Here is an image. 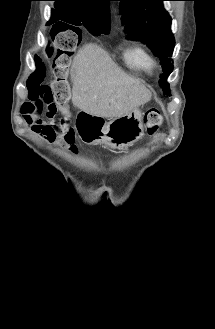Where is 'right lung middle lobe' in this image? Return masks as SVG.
<instances>
[{
  "mask_svg": "<svg viewBox=\"0 0 215 329\" xmlns=\"http://www.w3.org/2000/svg\"><path fill=\"white\" fill-rule=\"evenodd\" d=\"M68 22L66 25L69 29L75 31L78 35L80 34V30H79V33L77 32V28L74 27V26H71L70 24L72 25H75V26H80V25H84L88 31L93 34L94 36H99L100 34H108L109 31L107 30H104L102 27L100 26H97L95 24H93L92 22H86L83 18L81 17H78V16H74V17H70L68 19ZM80 36V35H79Z\"/></svg>",
  "mask_w": 215,
  "mask_h": 329,
  "instance_id": "dd1d6c3e",
  "label": "right lung middle lobe"
}]
</instances>
